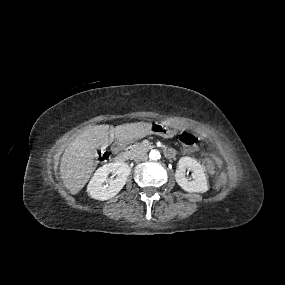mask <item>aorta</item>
Here are the masks:
<instances>
[{
  "instance_id": "1",
  "label": "aorta",
  "mask_w": 285,
  "mask_h": 285,
  "mask_svg": "<svg viewBox=\"0 0 285 285\" xmlns=\"http://www.w3.org/2000/svg\"><path fill=\"white\" fill-rule=\"evenodd\" d=\"M149 157L151 160H159L161 158L160 152L158 150H151Z\"/></svg>"
}]
</instances>
